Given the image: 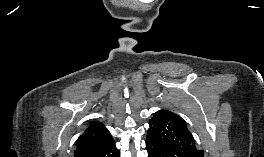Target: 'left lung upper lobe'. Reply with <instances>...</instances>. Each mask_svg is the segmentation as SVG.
<instances>
[{
    "label": "left lung upper lobe",
    "instance_id": "1",
    "mask_svg": "<svg viewBox=\"0 0 264 157\" xmlns=\"http://www.w3.org/2000/svg\"><path fill=\"white\" fill-rule=\"evenodd\" d=\"M146 140L164 147L169 157H204L185 121L168 110H159L149 121Z\"/></svg>",
    "mask_w": 264,
    "mask_h": 157
}]
</instances>
